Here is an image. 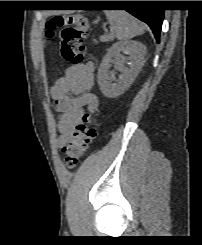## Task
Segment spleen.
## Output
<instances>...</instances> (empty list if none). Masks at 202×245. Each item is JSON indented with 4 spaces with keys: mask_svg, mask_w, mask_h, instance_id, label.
<instances>
[{
    "mask_svg": "<svg viewBox=\"0 0 202 245\" xmlns=\"http://www.w3.org/2000/svg\"><path fill=\"white\" fill-rule=\"evenodd\" d=\"M106 17L118 40L129 39L144 33L145 27L126 11H105Z\"/></svg>",
    "mask_w": 202,
    "mask_h": 245,
    "instance_id": "1",
    "label": "spleen"
}]
</instances>
